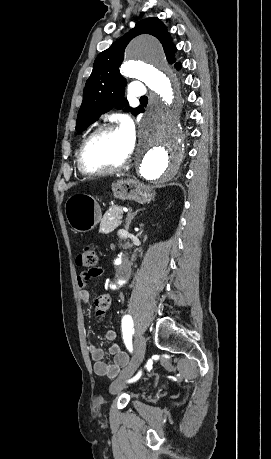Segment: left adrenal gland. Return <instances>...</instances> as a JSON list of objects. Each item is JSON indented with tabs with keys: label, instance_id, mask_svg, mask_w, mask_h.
Returning a JSON list of instances; mask_svg holds the SVG:
<instances>
[{
	"label": "left adrenal gland",
	"instance_id": "1",
	"mask_svg": "<svg viewBox=\"0 0 271 459\" xmlns=\"http://www.w3.org/2000/svg\"><path fill=\"white\" fill-rule=\"evenodd\" d=\"M145 210V208H143ZM137 212H140V210H137ZM137 212H132V208H129V212H127V218L125 220V229H129V226L131 224V220L137 216Z\"/></svg>",
	"mask_w": 271,
	"mask_h": 459
}]
</instances>
